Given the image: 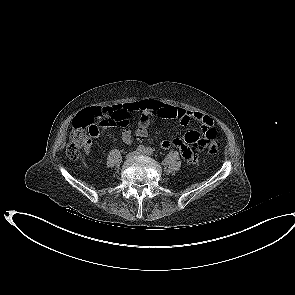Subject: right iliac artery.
<instances>
[{"label":"right iliac artery","instance_id":"1","mask_svg":"<svg viewBox=\"0 0 295 295\" xmlns=\"http://www.w3.org/2000/svg\"><path fill=\"white\" fill-rule=\"evenodd\" d=\"M137 150H138L139 152H143V151H145V147H144L143 145H140V146L137 148Z\"/></svg>","mask_w":295,"mask_h":295}]
</instances>
